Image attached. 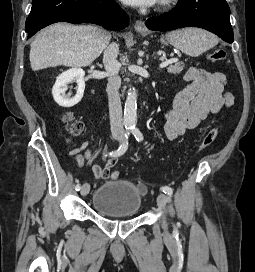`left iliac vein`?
Listing matches in <instances>:
<instances>
[{
	"label": "left iliac vein",
	"mask_w": 255,
	"mask_h": 272,
	"mask_svg": "<svg viewBox=\"0 0 255 272\" xmlns=\"http://www.w3.org/2000/svg\"><path fill=\"white\" fill-rule=\"evenodd\" d=\"M167 201H168V197L166 196V194L161 193V194L158 195V197H157V205H158L159 209H160L162 212L165 210ZM162 227H163L165 233H167L168 227H167L165 215H163V223H162Z\"/></svg>",
	"instance_id": "obj_1"
}]
</instances>
